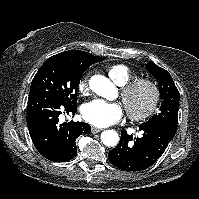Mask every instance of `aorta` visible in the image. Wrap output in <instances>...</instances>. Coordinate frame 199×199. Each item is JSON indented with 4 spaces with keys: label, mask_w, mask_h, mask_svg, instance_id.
<instances>
[{
    "label": "aorta",
    "mask_w": 199,
    "mask_h": 199,
    "mask_svg": "<svg viewBox=\"0 0 199 199\" xmlns=\"http://www.w3.org/2000/svg\"><path fill=\"white\" fill-rule=\"evenodd\" d=\"M89 84L93 92L109 100L115 94L114 84L105 76L94 75L91 77ZM101 141L108 147L116 146L119 142L118 133L114 130H105L101 133Z\"/></svg>",
    "instance_id": "obj_1"
}]
</instances>
